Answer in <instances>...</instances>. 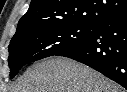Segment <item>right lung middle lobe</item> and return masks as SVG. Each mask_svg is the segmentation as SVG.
I'll return each instance as SVG.
<instances>
[{
  "label": "right lung middle lobe",
  "mask_w": 127,
  "mask_h": 92,
  "mask_svg": "<svg viewBox=\"0 0 127 92\" xmlns=\"http://www.w3.org/2000/svg\"><path fill=\"white\" fill-rule=\"evenodd\" d=\"M94 25L70 24L40 27L13 37L9 45L8 63L13 78L26 64L54 56L88 39Z\"/></svg>",
  "instance_id": "obj_1"
}]
</instances>
